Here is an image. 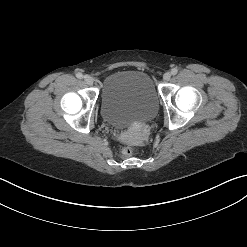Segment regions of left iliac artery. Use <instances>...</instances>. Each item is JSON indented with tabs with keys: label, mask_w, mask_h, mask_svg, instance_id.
I'll return each mask as SVG.
<instances>
[{
	"label": "left iliac artery",
	"mask_w": 247,
	"mask_h": 247,
	"mask_svg": "<svg viewBox=\"0 0 247 247\" xmlns=\"http://www.w3.org/2000/svg\"><path fill=\"white\" fill-rule=\"evenodd\" d=\"M177 72H178V69H177V68H173V69L171 70V73H172L173 75L177 74Z\"/></svg>",
	"instance_id": "1"
}]
</instances>
